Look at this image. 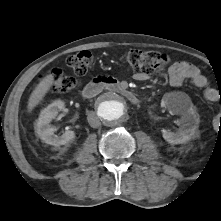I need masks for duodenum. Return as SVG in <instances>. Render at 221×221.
<instances>
[{"instance_id":"1","label":"duodenum","mask_w":221,"mask_h":221,"mask_svg":"<svg viewBox=\"0 0 221 221\" xmlns=\"http://www.w3.org/2000/svg\"><path fill=\"white\" fill-rule=\"evenodd\" d=\"M104 88H108L115 94H118L133 104L138 103L136 94L128 88L121 87L116 80L106 77H97L92 79L83 89V96L86 99H92L98 95Z\"/></svg>"}]
</instances>
